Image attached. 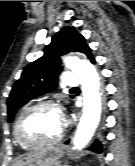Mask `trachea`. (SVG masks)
<instances>
[{
  "label": "trachea",
  "instance_id": "obj_1",
  "mask_svg": "<svg viewBox=\"0 0 135 166\" xmlns=\"http://www.w3.org/2000/svg\"><path fill=\"white\" fill-rule=\"evenodd\" d=\"M75 89H77V88H72L71 90H75Z\"/></svg>",
  "mask_w": 135,
  "mask_h": 166
}]
</instances>
